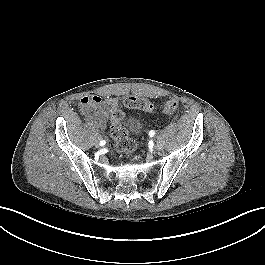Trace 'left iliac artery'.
<instances>
[{
  "instance_id": "left-iliac-artery-1",
  "label": "left iliac artery",
  "mask_w": 265,
  "mask_h": 265,
  "mask_svg": "<svg viewBox=\"0 0 265 265\" xmlns=\"http://www.w3.org/2000/svg\"><path fill=\"white\" fill-rule=\"evenodd\" d=\"M154 134H155V131H153V130H151V131L149 132L150 137H153Z\"/></svg>"
}]
</instances>
